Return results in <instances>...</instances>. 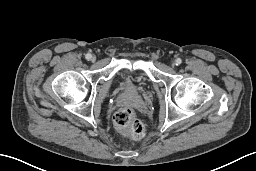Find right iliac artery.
I'll use <instances>...</instances> for the list:
<instances>
[{
  "mask_svg": "<svg viewBox=\"0 0 256 171\" xmlns=\"http://www.w3.org/2000/svg\"><path fill=\"white\" fill-rule=\"evenodd\" d=\"M91 57H92V56H91V54H89V53H88V54H86V56H85V58H86L87 60H90V59H91Z\"/></svg>",
  "mask_w": 256,
  "mask_h": 171,
  "instance_id": "82829eb1",
  "label": "right iliac artery"
}]
</instances>
